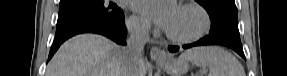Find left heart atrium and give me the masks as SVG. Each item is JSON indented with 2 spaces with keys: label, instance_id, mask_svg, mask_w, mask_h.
<instances>
[{
  "label": "left heart atrium",
  "instance_id": "obj_1",
  "mask_svg": "<svg viewBox=\"0 0 287 76\" xmlns=\"http://www.w3.org/2000/svg\"><path fill=\"white\" fill-rule=\"evenodd\" d=\"M134 7L164 29L170 26L178 10L175 2L170 0H138Z\"/></svg>",
  "mask_w": 287,
  "mask_h": 76
}]
</instances>
